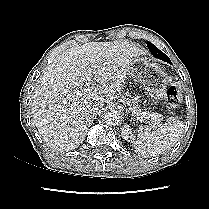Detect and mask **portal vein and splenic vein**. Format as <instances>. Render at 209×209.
<instances>
[{
  "label": "portal vein and splenic vein",
  "instance_id": "obj_1",
  "mask_svg": "<svg viewBox=\"0 0 209 209\" xmlns=\"http://www.w3.org/2000/svg\"><path fill=\"white\" fill-rule=\"evenodd\" d=\"M90 90V88L89 87H84L83 89H81V91H76V94L78 95V96H82V95H85L88 91ZM134 114V113H133ZM135 115V114H134ZM141 115L143 116L144 115V113H141ZM148 116L149 117H155V115H153V114H148ZM139 120H141V118H139Z\"/></svg>",
  "mask_w": 209,
  "mask_h": 209
}]
</instances>
